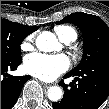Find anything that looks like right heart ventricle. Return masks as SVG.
<instances>
[{
  "instance_id": "obj_1",
  "label": "right heart ventricle",
  "mask_w": 109,
  "mask_h": 109,
  "mask_svg": "<svg viewBox=\"0 0 109 109\" xmlns=\"http://www.w3.org/2000/svg\"><path fill=\"white\" fill-rule=\"evenodd\" d=\"M54 31L58 38L65 43L73 42L77 38L76 30L69 25H58L54 28Z\"/></svg>"
}]
</instances>
